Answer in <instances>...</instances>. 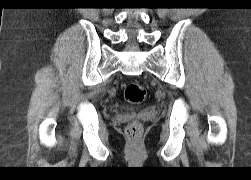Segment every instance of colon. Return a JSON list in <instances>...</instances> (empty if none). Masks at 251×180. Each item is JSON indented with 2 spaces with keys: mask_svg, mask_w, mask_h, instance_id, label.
Wrapping results in <instances>:
<instances>
[{
  "mask_svg": "<svg viewBox=\"0 0 251 180\" xmlns=\"http://www.w3.org/2000/svg\"><path fill=\"white\" fill-rule=\"evenodd\" d=\"M124 97L131 104H140L146 97L145 88L137 82H129L124 86ZM127 136L135 141L140 137L141 125L139 122H131L126 129Z\"/></svg>",
  "mask_w": 251,
  "mask_h": 180,
  "instance_id": "5ec220e1",
  "label": "colon"
}]
</instances>
